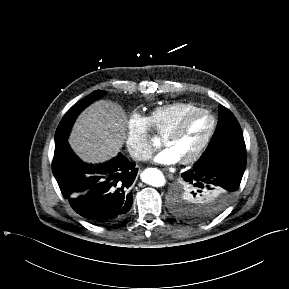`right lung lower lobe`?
<instances>
[{
	"mask_svg": "<svg viewBox=\"0 0 289 289\" xmlns=\"http://www.w3.org/2000/svg\"><path fill=\"white\" fill-rule=\"evenodd\" d=\"M52 171L64 198L92 223L114 222L131 208L130 189L137 169L124 156L118 155L103 164H86L65 139L55 145Z\"/></svg>",
	"mask_w": 289,
	"mask_h": 289,
	"instance_id": "98d812e1",
	"label": "right lung lower lobe"
}]
</instances>
